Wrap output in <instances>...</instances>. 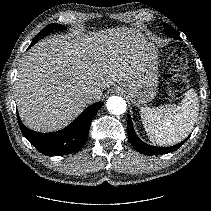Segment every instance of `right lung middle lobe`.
<instances>
[{
  "mask_svg": "<svg viewBox=\"0 0 211 211\" xmlns=\"http://www.w3.org/2000/svg\"><path fill=\"white\" fill-rule=\"evenodd\" d=\"M66 27L60 24H50L46 26L31 42L29 48L33 46L38 40L45 37L47 34H49L52 30H58V29H65Z\"/></svg>",
  "mask_w": 211,
  "mask_h": 211,
  "instance_id": "right-lung-middle-lobe-1",
  "label": "right lung middle lobe"
}]
</instances>
